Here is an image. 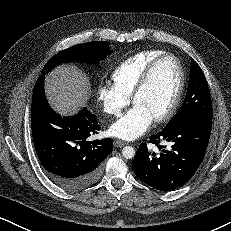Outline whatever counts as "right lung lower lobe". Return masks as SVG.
I'll return each instance as SVG.
<instances>
[{"mask_svg": "<svg viewBox=\"0 0 231 231\" xmlns=\"http://www.w3.org/2000/svg\"><path fill=\"white\" fill-rule=\"evenodd\" d=\"M31 129L38 158L48 178L67 191L93 184L100 177L103 160L113 150L111 138L90 141L100 130L96 116L83 108L61 117L48 104L44 75L36 81L31 104Z\"/></svg>", "mask_w": 231, "mask_h": 231, "instance_id": "98d812e1", "label": "right lung lower lobe"}]
</instances>
